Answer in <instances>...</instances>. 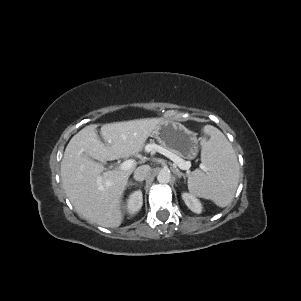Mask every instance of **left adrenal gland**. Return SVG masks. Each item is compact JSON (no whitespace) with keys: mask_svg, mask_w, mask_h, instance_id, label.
I'll return each instance as SVG.
<instances>
[{"mask_svg":"<svg viewBox=\"0 0 301 301\" xmlns=\"http://www.w3.org/2000/svg\"><path fill=\"white\" fill-rule=\"evenodd\" d=\"M175 172H176L178 178H181L182 176H183V178H186V175L184 173L180 172L177 168L175 169Z\"/></svg>","mask_w":301,"mask_h":301,"instance_id":"1","label":"left adrenal gland"}]
</instances>
